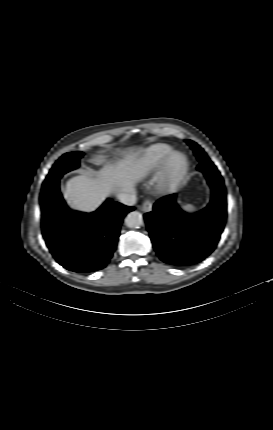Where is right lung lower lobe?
Listing matches in <instances>:
<instances>
[{
	"label": "right lung lower lobe",
	"mask_w": 273,
	"mask_h": 430,
	"mask_svg": "<svg viewBox=\"0 0 273 430\" xmlns=\"http://www.w3.org/2000/svg\"><path fill=\"white\" fill-rule=\"evenodd\" d=\"M40 204L46 245L60 265L78 273L107 266L116 249L123 218L134 209L108 199L93 213L68 212L59 180L43 187Z\"/></svg>",
	"instance_id": "obj_1"
}]
</instances>
